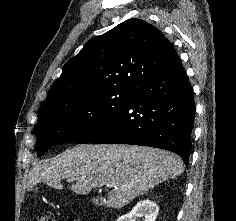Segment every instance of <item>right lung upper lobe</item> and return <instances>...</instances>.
I'll list each match as a JSON object with an SVG mask.
<instances>
[{
	"instance_id": "right-lung-upper-lobe-1",
	"label": "right lung upper lobe",
	"mask_w": 236,
	"mask_h": 221,
	"mask_svg": "<svg viewBox=\"0 0 236 221\" xmlns=\"http://www.w3.org/2000/svg\"><path fill=\"white\" fill-rule=\"evenodd\" d=\"M178 58L162 32L141 19H128L89 40L69 59L43 107L114 90H133Z\"/></svg>"
}]
</instances>
